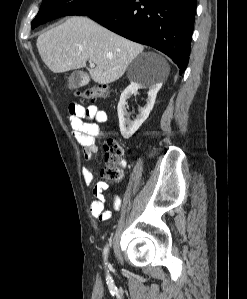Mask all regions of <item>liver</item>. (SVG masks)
I'll return each instance as SVG.
<instances>
[{"label": "liver", "mask_w": 247, "mask_h": 299, "mask_svg": "<svg viewBox=\"0 0 247 299\" xmlns=\"http://www.w3.org/2000/svg\"><path fill=\"white\" fill-rule=\"evenodd\" d=\"M37 48L45 65L54 73H63L86 67L92 80L109 84L125 73L132 60L143 51V46L102 27L88 17H71L64 23L41 34ZM158 60L169 75V65L163 57Z\"/></svg>", "instance_id": "liver-1"}]
</instances>
